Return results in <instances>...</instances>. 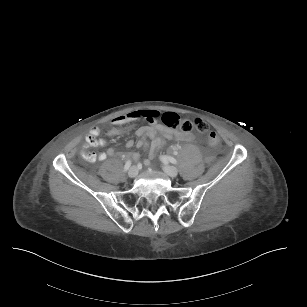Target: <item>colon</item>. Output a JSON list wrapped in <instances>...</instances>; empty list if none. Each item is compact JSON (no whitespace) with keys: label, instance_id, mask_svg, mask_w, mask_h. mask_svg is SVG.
I'll return each instance as SVG.
<instances>
[{"label":"colon","instance_id":"obj_1","mask_svg":"<svg viewBox=\"0 0 307 307\" xmlns=\"http://www.w3.org/2000/svg\"><path fill=\"white\" fill-rule=\"evenodd\" d=\"M161 122L175 130L182 133H187L196 129L199 133L207 136L210 145L215 146L219 142V136L216 132L209 129L207 123L201 119H182L178 114L175 113H164L160 115Z\"/></svg>","mask_w":307,"mask_h":307}]
</instances>
